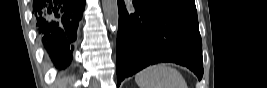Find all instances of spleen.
<instances>
[{
    "label": "spleen",
    "instance_id": "3e777b00",
    "mask_svg": "<svg viewBox=\"0 0 267 88\" xmlns=\"http://www.w3.org/2000/svg\"><path fill=\"white\" fill-rule=\"evenodd\" d=\"M139 88H187L181 73L165 63L152 65L135 75Z\"/></svg>",
    "mask_w": 267,
    "mask_h": 88
}]
</instances>
